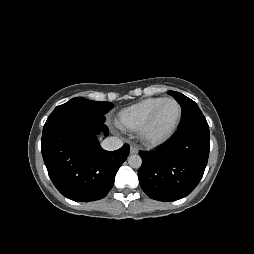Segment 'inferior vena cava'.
<instances>
[{"mask_svg": "<svg viewBox=\"0 0 254 254\" xmlns=\"http://www.w3.org/2000/svg\"><path fill=\"white\" fill-rule=\"evenodd\" d=\"M123 145L122 140H120L117 137H108L103 140L101 143V146L103 149L108 150V151H114L119 148H121Z\"/></svg>", "mask_w": 254, "mask_h": 254, "instance_id": "inferior-vena-cava-1", "label": "inferior vena cava"}]
</instances>
